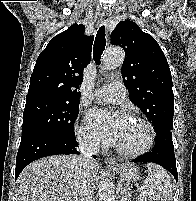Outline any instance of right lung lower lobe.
Returning <instances> with one entry per match:
<instances>
[{
  "mask_svg": "<svg viewBox=\"0 0 196 201\" xmlns=\"http://www.w3.org/2000/svg\"><path fill=\"white\" fill-rule=\"evenodd\" d=\"M77 146L75 135L67 137L50 132L23 135L16 157L15 179L24 167L39 158L55 154H80Z\"/></svg>",
  "mask_w": 196,
  "mask_h": 201,
  "instance_id": "right-lung-lower-lobe-1",
  "label": "right lung lower lobe"
}]
</instances>
